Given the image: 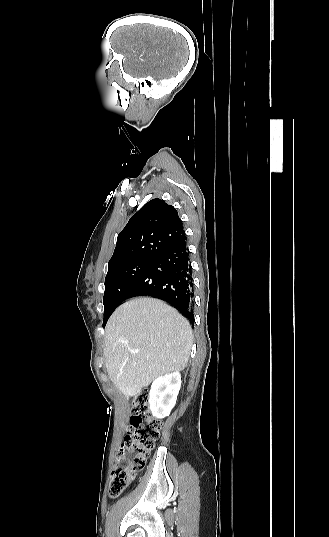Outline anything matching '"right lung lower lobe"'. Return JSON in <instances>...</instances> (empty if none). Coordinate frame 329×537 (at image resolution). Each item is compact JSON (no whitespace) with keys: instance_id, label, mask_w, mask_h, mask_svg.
Here are the masks:
<instances>
[{"instance_id":"obj_1","label":"right lung lower lobe","mask_w":329,"mask_h":537,"mask_svg":"<svg viewBox=\"0 0 329 537\" xmlns=\"http://www.w3.org/2000/svg\"><path fill=\"white\" fill-rule=\"evenodd\" d=\"M134 296L162 299L194 322V284L186 236L152 260L122 301Z\"/></svg>"}]
</instances>
